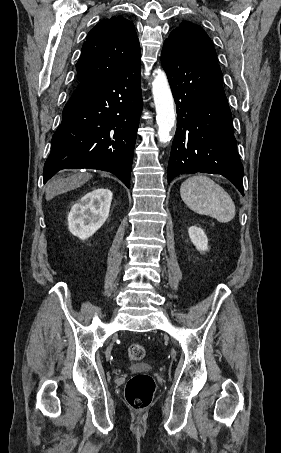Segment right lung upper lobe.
Masks as SVG:
<instances>
[{"label": "right lung upper lobe", "instance_id": "right-lung-upper-lobe-1", "mask_svg": "<svg viewBox=\"0 0 281 453\" xmlns=\"http://www.w3.org/2000/svg\"><path fill=\"white\" fill-rule=\"evenodd\" d=\"M140 55L134 24L122 16L104 19L86 37L76 64L77 82L109 80Z\"/></svg>", "mask_w": 281, "mask_h": 453}]
</instances>
